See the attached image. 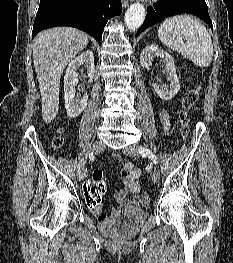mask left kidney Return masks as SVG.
Instances as JSON below:
<instances>
[{
	"mask_svg": "<svg viewBox=\"0 0 233 263\" xmlns=\"http://www.w3.org/2000/svg\"><path fill=\"white\" fill-rule=\"evenodd\" d=\"M160 57L165 63V73L167 74V80L170 81V85H158L153 83L155 93L165 101L171 100L179 91L180 84L176 74V66L172 56L166 51L160 49L156 45H148L140 55V64L143 68L149 69L155 58Z\"/></svg>",
	"mask_w": 233,
	"mask_h": 263,
	"instance_id": "obj_1",
	"label": "left kidney"
}]
</instances>
